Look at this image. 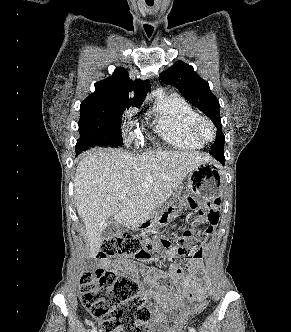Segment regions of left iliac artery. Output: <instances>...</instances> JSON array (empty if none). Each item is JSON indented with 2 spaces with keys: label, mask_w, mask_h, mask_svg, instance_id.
I'll return each mask as SVG.
<instances>
[{
  "label": "left iliac artery",
  "mask_w": 291,
  "mask_h": 332,
  "mask_svg": "<svg viewBox=\"0 0 291 332\" xmlns=\"http://www.w3.org/2000/svg\"><path fill=\"white\" fill-rule=\"evenodd\" d=\"M189 331H190V332H196V330H195L193 327H190V328H189Z\"/></svg>",
  "instance_id": "1"
}]
</instances>
